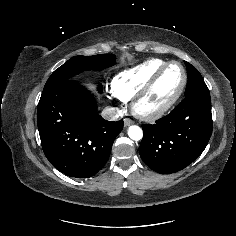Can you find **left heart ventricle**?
<instances>
[{
  "label": "left heart ventricle",
  "mask_w": 236,
  "mask_h": 236,
  "mask_svg": "<svg viewBox=\"0 0 236 236\" xmlns=\"http://www.w3.org/2000/svg\"><path fill=\"white\" fill-rule=\"evenodd\" d=\"M182 78L181 68L178 65H171L140 103L141 110L153 111L164 106L178 91Z\"/></svg>",
  "instance_id": "left-heart-ventricle-1"
}]
</instances>
